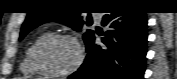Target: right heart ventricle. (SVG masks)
Here are the masks:
<instances>
[{"mask_svg":"<svg viewBox=\"0 0 177 79\" xmlns=\"http://www.w3.org/2000/svg\"><path fill=\"white\" fill-rule=\"evenodd\" d=\"M44 36H46V32L40 33L26 48L24 58L21 63V71L24 74L27 75H40L41 72H39L32 62V50L36 43L41 40Z\"/></svg>","mask_w":177,"mask_h":79,"instance_id":"1","label":"right heart ventricle"}]
</instances>
